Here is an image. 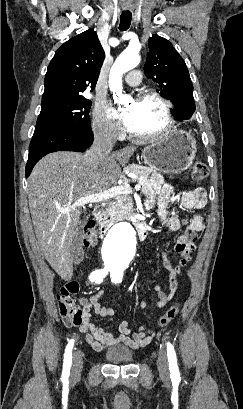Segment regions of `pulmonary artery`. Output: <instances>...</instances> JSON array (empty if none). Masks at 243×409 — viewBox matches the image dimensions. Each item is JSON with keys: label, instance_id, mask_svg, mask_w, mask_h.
<instances>
[{"label": "pulmonary artery", "instance_id": "pulmonary-artery-1", "mask_svg": "<svg viewBox=\"0 0 243 409\" xmlns=\"http://www.w3.org/2000/svg\"><path fill=\"white\" fill-rule=\"evenodd\" d=\"M125 81L129 86H137L141 81V73L137 70L130 71Z\"/></svg>", "mask_w": 243, "mask_h": 409}]
</instances>
